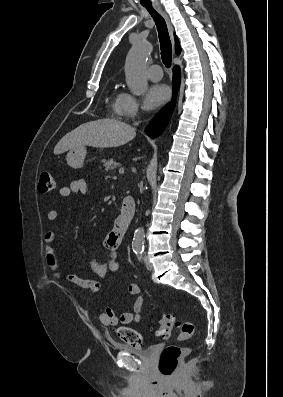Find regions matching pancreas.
Listing matches in <instances>:
<instances>
[{"instance_id":"pancreas-1","label":"pancreas","mask_w":283,"mask_h":397,"mask_svg":"<svg viewBox=\"0 0 283 397\" xmlns=\"http://www.w3.org/2000/svg\"><path fill=\"white\" fill-rule=\"evenodd\" d=\"M102 164L105 171L114 170L116 167L119 166V164L113 159L103 160Z\"/></svg>"}]
</instances>
